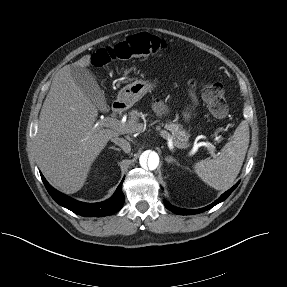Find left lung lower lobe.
<instances>
[{"mask_svg": "<svg viewBox=\"0 0 287 287\" xmlns=\"http://www.w3.org/2000/svg\"><path fill=\"white\" fill-rule=\"evenodd\" d=\"M239 182L237 184H235L231 189H229L228 191H226L224 194H222L215 202H213L212 204L208 205L207 207L201 208V209H182V208H178L175 206L170 205L167 202H164L166 208H168L169 210H171L172 212L176 213V214H180V215H193V214H198L201 212H204L210 208H212L213 206L217 205L218 203L224 201L232 192L233 190L238 186Z\"/></svg>", "mask_w": 287, "mask_h": 287, "instance_id": "0a47b994", "label": "left lung lower lobe"}]
</instances>
